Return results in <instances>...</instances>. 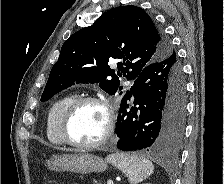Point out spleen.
Returning <instances> with one entry per match:
<instances>
[{
	"label": "spleen",
	"instance_id": "spleen-1",
	"mask_svg": "<svg viewBox=\"0 0 224 184\" xmlns=\"http://www.w3.org/2000/svg\"><path fill=\"white\" fill-rule=\"evenodd\" d=\"M106 160L125 173L130 184H137L143 181L154 170L153 163L149 159L135 154H110L106 157Z\"/></svg>",
	"mask_w": 224,
	"mask_h": 184
}]
</instances>
